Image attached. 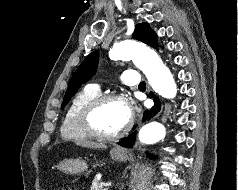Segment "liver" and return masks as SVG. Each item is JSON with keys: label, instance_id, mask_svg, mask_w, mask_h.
Returning <instances> with one entry per match:
<instances>
[{"label": "liver", "instance_id": "liver-1", "mask_svg": "<svg viewBox=\"0 0 238 190\" xmlns=\"http://www.w3.org/2000/svg\"><path fill=\"white\" fill-rule=\"evenodd\" d=\"M77 145L87 148H94V149H106L107 146L99 143L94 142H77Z\"/></svg>", "mask_w": 238, "mask_h": 190}]
</instances>
